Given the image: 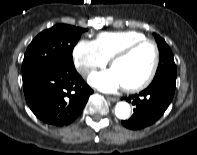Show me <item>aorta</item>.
<instances>
[{
    "label": "aorta",
    "instance_id": "aorta-1",
    "mask_svg": "<svg viewBox=\"0 0 197 155\" xmlns=\"http://www.w3.org/2000/svg\"><path fill=\"white\" fill-rule=\"evenodd\" d=\"M131 108L127 102H118L115 107V115L119 119H127L130 116Z\"/></svg>",
    "mask_w": 197,
    "mask_h": 155
}]
</instances>
